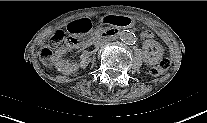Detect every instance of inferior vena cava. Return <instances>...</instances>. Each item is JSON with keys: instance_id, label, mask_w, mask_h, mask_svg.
I'll return each mask as SVG.
<instances>
[{"instance_id": "602c4592", "label": "inferior vena cava", "mask_w": 207, "mask_h": 123, "mask_svg": "<svg viewBox=\"0 0 207 123\" xmlns=\"http://www.w3.org/2000/svg\"><path fill=\"white\" fill-rule=\"evenodd\" d=\"M108 45V41L107 40H101L100 42L97 43L98 47H106Z\"/></svg>"}]
</instances>
